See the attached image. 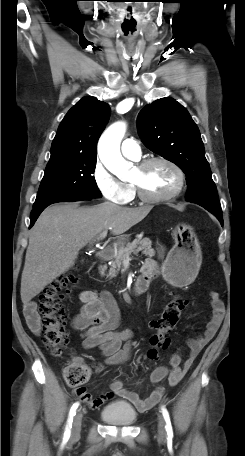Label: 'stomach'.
<instances>
[{
  "mask_svg": "<svg viewBox=\"0 0 245 456\" xmlns=\"http://www.w3.org/2000/svg\"><path fill=\"white\" fill-rule=\"evenodd\" d=\"M172 235L175 244L163 262V276L174 286L187 285L199 271L202 259L201 248L190 225L183 223L176 225ZM127 241V236H121L117 243L119 247H122Z\"/></svg>",
  "mask_w": 245,
  "mask_h": 456,
  "instance_id": "0dacf381",
  "label": "stomach"
}]
</instances>
